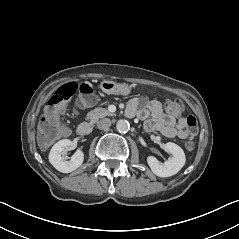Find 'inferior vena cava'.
<instances>
[{
  "label": "inferior vena cava",
  "instance_id": "inferior-vena-cava-1",
  "mask_svg": "<svg viewBox=\"0 0 239 239\" xmlns=\"http://www.w3.org/2000/svg\"><path fill=\"white\" fill-rule=\"evenodd\" d=\"M111 125V120L109 118H103L98 121L97 127L98 129H108Z\"/></svg>",
  "mask_w": 239,
  "mask_h": 239
}]
</instances>
